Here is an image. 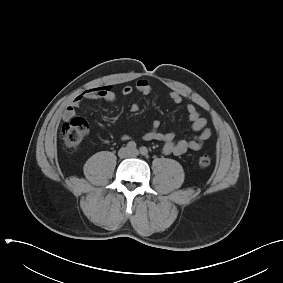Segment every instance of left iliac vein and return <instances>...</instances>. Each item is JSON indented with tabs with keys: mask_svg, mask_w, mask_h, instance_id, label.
Segmentation results:
<instances>
[{
	"mask_svg": "<svg viewBox=\"0 0 283 283\" xmlns=\"http://www.w3.org/2000/svg\"><path fill=\"white\" fill-rule=\"evenodd\" d=\"M131 156H138L139 151L137 149L131 150L130 151Z\"/></svg>",
	"mask_w": 283,
	"mask_h": 283,
	"instance_id": "4c4485c4",
	"label": "left iliac vein"
}]
</instances>
